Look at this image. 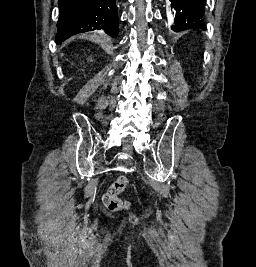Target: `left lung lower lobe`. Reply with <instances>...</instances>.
Here are the masks:
<instances>
[{
	"label": "left lung lower lobe",
	"mask_w": 256,
	"mask_h": 267,
	"mask_svg": "<svg viewBox=\"0 0 256 267\" xmlns=\"http://www.w3.org/2000/svg\"><path fill=\"white\" fill-rule=\"evenodd\" d=\"M174 10L176 27L174 31L199 28L205 25L203 13L206 0H170ZM206 27V26H205ZM206 29V28H205ZM204 29V30H205Z\"/></svg>",
	"instance_id": "left-lung-lower-lobe-1"
}]
</instances>
